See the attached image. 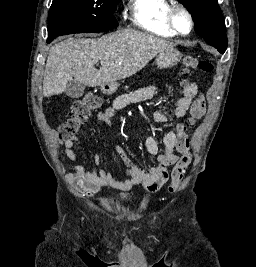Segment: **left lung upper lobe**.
Returning a JSON list of instances; mask_svg holds the SVG:
<instances>
[{"label": "left lung upper lobe", "instance_id": "left-lung-upper-lobe-1", "mask_svg": "<svg viewBox=\"0 0 256 267\" xmlns=\"http://www.w3.org/2000/svg\"><path fill=\"white\" fill-rule=\"evenodd\" d=\"M192 14L195 31L204 40L224 53L227 48L226 29L217 0H178Z\"/></svg>", "mask_w": 256, "mask_h": 267}]
</instances>
